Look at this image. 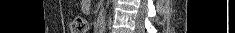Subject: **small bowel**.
Here are the masks:
<instances>
[{
    "mask_svg": "<svg viewBox=\"0 0 235 33\" xmlns=\"http://www.w3.org/2000/svg\"><path fill=\"white\" fill-rule=\"evenodd\" d=\"M84 8H85V9L87 8V5H86V4L84 5Z\"/></svg>",
    "mask_w": 235,
    "mask_h": 33,
    "instance_id": "obj_1",
    "label": "small bowel"
}]
</instances>
